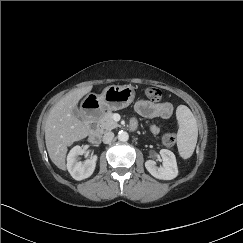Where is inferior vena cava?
<instances>
[{
  "label": "inferior vena cava",
  "mask_w": 243,
  "mask_h": 243,
  "mask_svg": "<svg viewBox=\"0 0 243 243\" xmlns=\"http://www.w3.org/2000/svg\"><path fill=\"white\" fill-rule=\"evenodd\" d=\"M113 138H114V133H113V132H111V131L106 132V133L103 135V142H104L105 144H109V143L112 142Z\"/></svg>",
  "instance_id": "obj_1"
}]
</instances>
